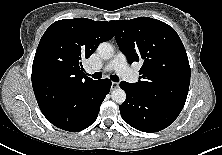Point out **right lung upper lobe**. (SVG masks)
<instances>
[{
  "instance_id": "cb5924a9",
  "label": "right lung upper lobe",
  "mask_w": 222,
  "mask_h": 155,
  "mask_svg": "<svg viewBox=\"0 0 222 155\" xmlns=\"http://www.w3.org/2000/svg\"><path fill=\"white\" fill-rule=\"evenodd\" d=\"M113 36L111 21L74 18L54 22L36 50L33 90L52 86L58 92H65L94 81L85 75L82 60Z\"/></svg>"
}]
</instances>
